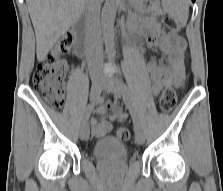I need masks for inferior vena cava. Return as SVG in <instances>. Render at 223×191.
Masks as SVG:
<instances>
[{"instance_id": "inferior-vena-cava-1", "label": "inferior vena cava", "mask_w": 223, "mask_h": 191, "mask_svg": "<svg viewBox=\"0 0 223 191\" xmlns=\"http://www.w3.org/2000/svg\"><path fill=\"white\" fill-rule=\"evenodd\" d=\"M100 8L101 0H85V17L88 28V47L91 60H95L98 66L103 61V49L100 43Z\"/></svg>"}]
</instances>
